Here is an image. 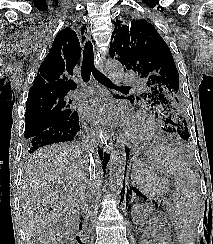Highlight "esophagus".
Returning <instances> with one entry per match:
<instances>
[{
    "instance_id": "34e87169",
    "label": "esophagus",
    "mask_w": 213,
    "mask_h": 244,
    "mask_svg": "<svg viewBox=\"0 0 213 244\" xmlns=\"http://www.w3.org/2000/svg\"><path fill=\"white\" fill-rule=\"evenodd\" d=\"M96 66L101 73H106L102 60L97 59V57H96ZM102 135H103L102 142L109 150H112L113 144L115 142V133L113 131L110 133L108 128H103Z\"/></svg>"
}]
</instances>
